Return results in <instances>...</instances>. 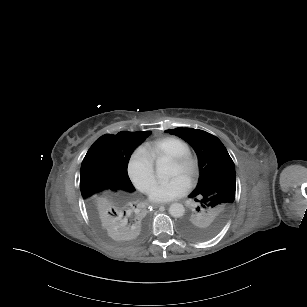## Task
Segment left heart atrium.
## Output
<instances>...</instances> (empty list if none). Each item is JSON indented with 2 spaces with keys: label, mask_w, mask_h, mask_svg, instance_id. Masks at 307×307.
<instances>
[{
  "label": "left heart atrium",
  "mask_w": 307,
  "mask_h": 307,
  "mask_svg": "<svg viewBox=\"0 0 307 307\" xmlns=\"http://www.w3.org/2000/svg\"><path fill=\"white\" fill-rule=\"evenodd\" d=\"M189 184L181 175H176L167 181H153L147 188L149 199L157 203H166L181 197Z\"/></svg>",
  "instance_id": "left-heart-atrium-1"
}]
</instances>
